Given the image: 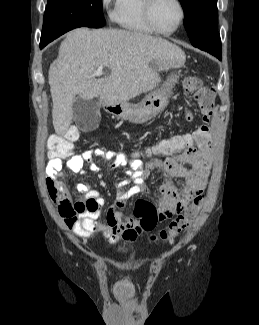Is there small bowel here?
Here are the masks:
<instances>
[{
    "mask_svg": "<svg viewBox=\"0 0 259 325\" xmlns=\"http://www.w3.org/2000/svg\"><path fill=\"white\" fill-rule=\"evenodd\" d=\"M203 113V112H202ZM187 121H192V114L185 111ZM201 128V127H200ZM200 128L189 135H200ZM179 134H170L168 138H179ZM209 132L197 143L196 149H170L161 150L158 144L147 152L148 156H164V160L151 158L144 163L138 156H126L122 152L97 148L86 150L80 155L69 158L63 169L62 159H56L49 152V163L46 167L47 185L53 186L57 196H52L58 211L66 224L76 235L84 239L94 238L101 234L114 244L118 240L134 241L140 233L138 220L134 216L124 215L119 209L123 208L131 197L147 193L146 180L154 170L162 172L172 178H181L183 188L181 191L171 182H165L159 189L158 214L159 220L170 218L175 213L182 211L188 202L201 195L207 186L211 170V158L208 147ZM93 156L100 157L104 162H109L107 175H111L117 167L129 166L127 178L116 182L119 193L114 205L106 209V223L97 222L100 209L105 205V200L97 189L86 184H79L77 190L84 194V200L73 203L66 189L58 179L66 177L69 173L85 175L84 165L92 172H99V167L93 162Z\"/></svg>",
    "mask_w": 259,
    "mask_h": 325,
    "instance_id": "small-bowel-1",
    "label": "small bowel"
}]
</instances>
